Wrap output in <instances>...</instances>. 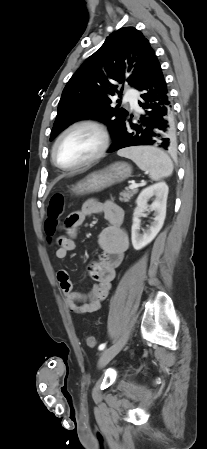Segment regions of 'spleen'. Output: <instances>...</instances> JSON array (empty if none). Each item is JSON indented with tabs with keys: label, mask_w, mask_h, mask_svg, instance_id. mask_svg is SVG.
Returning a JSON list of instances; mask_svg holds the SVG:
<instances>
[{
	"label": "spleen",
	"mask_w": 207,
	"mask_h": 449,
	"mask_svg": "<svg viewBox=\"0 0 207 449\" xmlns=\"http://www.w3.org/2000/svg\"><path fill=\"white\" fill-rule=\"evenodd\" d=\"M118 155L131 159L141 170L148 172L154 181L169 177L173 173V163L170 157L156 147L125 148L119 150Z\"/></svg>",
	"instance_id": "3e777b00"
}]
</instances>
